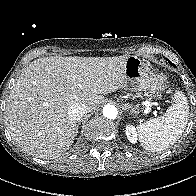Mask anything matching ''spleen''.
<instances>
[{"label": "spleen", "mask_w": 196, "mask_h": 196, "mask_svg": "<svg viewBox=\"0 0 196 196\" xmlns=\"http://www.w3.org/2000/svg\"><path fill=\"white\" fill-rule=\"evenodd\" d=\"M175 103L163 116L140 123L138 128L141 145L149 151H161L176 142L184 132L189 118L187 98L175 93Z\"/></svg>", "instance_id": "obj_1"}]
</instances>
